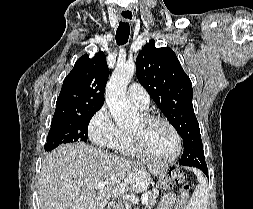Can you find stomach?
<instances>
[{
    "mask_svg": "<svg viewBox=\"0 0 253 209\" xmlns=\"http://www.w3.org/2000/svg\"><path fill=\"white\" fill-rule=\"evenodd\" d=\"M158 188H167V183L165 182H168V174H167V171H162L160 174H159V179H158ZM146 184V183H145ZM128 185V184H127ZM124 191V190H123Z\"/></svg>",
    "mask_w": 253,
    "mask_h": 209,
    "instance_id": "0dacf381",
    "label": "stomach"
}]
</instances>
